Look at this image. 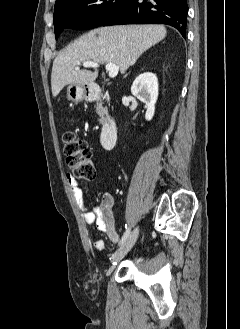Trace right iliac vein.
<instances>
[{
    "label": "right iliac vein",
    "mask_w": 240,
    "mask_h": 329,
    "mask_svg": "<svg viewBox=\"0 0 240 329\" xmlns=\"http://www.w3.org/2000/svg\"><path fill=\"white\" fill-rule=\"evenodd\" d=\"M139 234V227L137 226L129 235L125 243L112 255L111 261L118 262L121 260L134 246Z\"/></svg>",
    "instance_id": "1"
}]
</instances>
